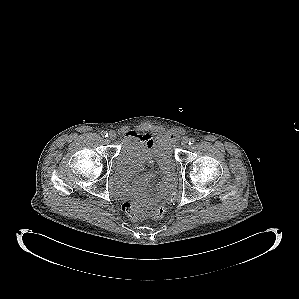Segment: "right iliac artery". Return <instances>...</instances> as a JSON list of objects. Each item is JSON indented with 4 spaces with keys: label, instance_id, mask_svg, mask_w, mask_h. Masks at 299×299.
Returning a JSON list of instances; mask_svg holds the SVG:
<instances>
[{
    "label": "right iliac artery",
    "instance_id": "1",
    "mask_svg": "<svg viewBox=\"0 0 299 299\" xmlns=\"http://www.w3.org/2000/svg\"><path fill=\"white\" fill-rule=\"evenodd\" d=\"M102 136H103V137H108V133H107L106 131H103V132H102Z\"/></svg>",
    "mask_w": 299,
    "mask_h": 299
}]
</instances>
